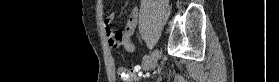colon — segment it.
Wrapping results in <instances>:
<instances>
[{"instance_id": "5ec220e1", "label": "colon", "mask_w": 279, "mask_h": 82, "mask_svg": "<svg viewBox=\"0 0 279 82\" xmlns=\"http://www.w3.org/2000/svg\"><path fill=\"white\" fill-rule=\"evenodd\" d=\"M118 73L123 82H134L136 80V74L132 67L120 66Z\"/></svg>"}]
</instances>
